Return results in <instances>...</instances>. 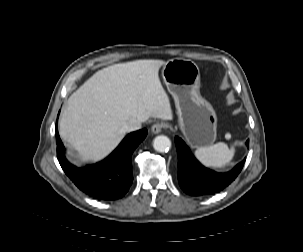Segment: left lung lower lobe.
<instances>
[{"mask_svg": "<svg viewBox=\"0 0 303 252\" xmlns=\"http://www.w3.org/2000/svg\"><path fill=\"white\" fill-rule=\"evenodd\" d=\"M178 155V181L182 190L190 195H208L227 187L241 172L245 159L231 171L217 173L202 166L192 155L185 142L175 137ZM249 145V140L246 141Z\"/></svg>", "mask_w": 303, "mask_h": 252, "instance_id": "0a47b994", "label": "left lung lower lobe"}]
</instances>
